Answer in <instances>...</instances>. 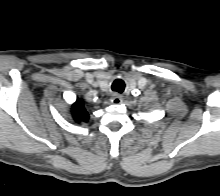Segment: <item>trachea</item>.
I'll use <instances>...</instances> for the list:
<instances>
[{
	"label": "trachea",
	"instance_id": "3493384b",
	"mask_svg": "<svg viewBox=\"0 0 220 196\" xmlns=\"http://www.w3.org/2000/svg\"><path fill=\"white\" fill-rule=\"evenodd\" d=\"M112 90L117 92V93H122L124 91L125 88V83L123 80L121 79H117L112 83L111 86Z\"/></svg>",
	"mask_w": 220,
	"mask_h": 196
}]
</instances>
